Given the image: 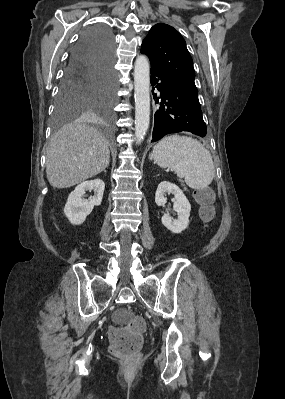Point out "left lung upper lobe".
<instances>
[{
	"label": "left lung upper lobe",
	"instance_id": "5c2ea615",
	"mask_svg": "<svg viewBox=\"0 0 285 399\" xmlns=\"http://www.w3.org/2000/svg\"><path fill=\"white\" fill-rule=\"evenodd\" d=\"M141 52L149 57L151 66L166 74L200 106L193 60L178 31L164 23L154 25L142 42Z\"/></svg>",
	"mask_w": 285,
	"mask_h": 399
}]
</instances>
